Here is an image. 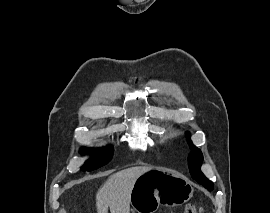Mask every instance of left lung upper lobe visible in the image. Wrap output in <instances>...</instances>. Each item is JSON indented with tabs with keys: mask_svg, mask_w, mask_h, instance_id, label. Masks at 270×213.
Returning a JSON list of instances; mask_svg holds the SVG:
<instances>
[{
	"mask_svg": "<svg viewBox=\"0 0 270 213\" xmlns=\"http://www.w3.org/2000/svg\"><path fill=\"white\" fill-rule=\"evenodd\" d=\"M188 143L192 152L189 155L188 166L190 169V174L193 179H195L199 184L203 185L205 188L210 191L213 190V183L208 180L200 170V166L203 161V155L200 149L195 147L190 138H188Z\"/></svg>",
	"mask_w": 270,
	"mask_h": 213,
	"instance_id": "left-lung-upper-lobe-1",
	"label": "left lung upper lobe"
}]
</instances>
